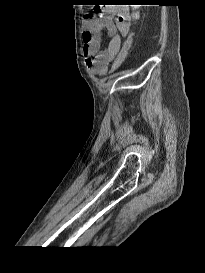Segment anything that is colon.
I'll return each mask as SVG.
<instances>
[{"mask_svg":"<svg viewBox=\"0 0 205 273\" xmlns=\"http://www.w3.org/2000/svg\"><path fill=\"white\" fill-rule=\"evenodd\" d=\"M132 37H133V33L130 34V36L127 39V41L125 42L121 52L119 53V55L115 59L113 65H112V72H115L120 67L122 62L125 60L128 52L130 50V47H131Z\"/></svg>","mask_w":205,"mask_h":273,"instance_id":"1","label":"colon"}]
</instances>
